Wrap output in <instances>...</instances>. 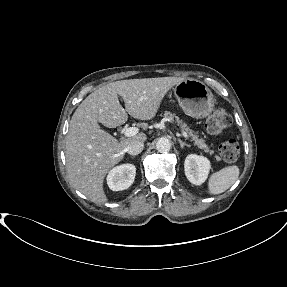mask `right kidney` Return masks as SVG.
<instances>
[{
    "instance_id": "ca27d5eb",
    "label": "right kidney",
    "mask_w": 287,
    "mask_h": 287,
    "mask_svg": "<svg viewBox=\"0 0 287 287\" xmlns=\"http://www.w3.org/2000/svg\"><path fill=\"white\" fill-rule=\"evenodd\" d=\"M136 167L133 164H122L113 168L107 176V184L113 191L129 188L134 182Z\"/></svg>"
}]
</instances>
